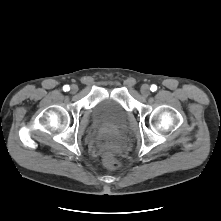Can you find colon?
Returning a JSON list of instances; mask_svg holds the SVG:
<instances>
[{
  "label": "colon",
  "mask_w": 221,
  "mask_h": 221,
  "mask_svg": "<svg viewBox=\"0 0 221 221\" xmlns=\"http://www.w3.org/2000/svg\"><path fill=\"white\" fill-rule=\"evenodd\" d=\"M104 163L107 167H109L111 169H118L120 167L119 162L114 157L113 153L110 151H107L104 154Z\"/></svg>",
  "instance_id": "5ec220e1"
}]
</instances>
